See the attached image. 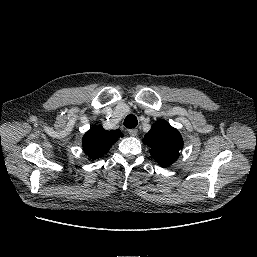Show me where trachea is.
Here are the masks:
<instances>
[{
  "mask_svg": "<svg viewBox=\"0 0 257 257\" xmlns=\"http://www.w3.org/2000/svg\"><path fill=\"white\" fill-rule=\"evenodd\" d=\"M124 126L127 128H135L138 124V120L135 115L129 114L124 120Z\"/></svg>",
  "mask_w": 257,
  "mask_h": 257,
  "instance_id": "obj_1",
  "label": "trachea"
}]
</instances>
